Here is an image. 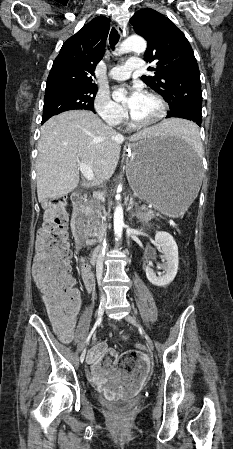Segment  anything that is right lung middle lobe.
<instances>
[{"mask_svg":"<svg viewBox=\"0 0 233 449\" xmlns=\"http://www.w3.org/2000/svg\"><path fill=\"white\" fill-rule=\"evenodd\" d=\"M97 86L64 88L45 93L42 122L53 115L75 109L94 111Z\"/></svg>","mask_w":233,"mask_h":449,"instance_id":"1","label":"right lung middle lobe"}]
</instances>
